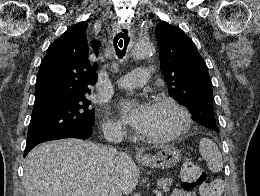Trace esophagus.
<instances>
[{
  "label": "esophagus",
  "mask_w": 260,
  "mask_h": 196,
  "mask_svg": "<svg viewBox=\"0 0 260 196\" xmlns=\"http://www.w3.org/2000/svg\"><path fill=\"white\" fill-rule=\"evenodd\" d=\"M136 158H138V159H145V158H146V155H145V153H144L143 151L138 150V151L136 152Z\"/></svg>",
  "instance_id": "1"
}]
</instances>
